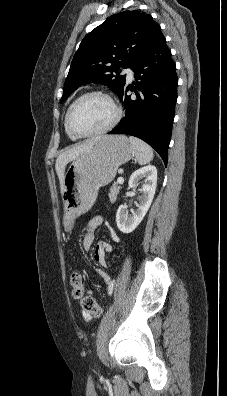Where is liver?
Wrapping results in <instances>:
<instances>
[{"mask_svg": "<svg viewBox=\"0 0 227 396\" xmlns=\"http://www.w3.org/2000/svg\"><path fill=\"white\" fill-rule=\"evenodd\" d=\"M97 140H99V138H93L91 140H87L82 144L76 145L73 148L61 153L58 156L55 164V169L59 178L61 193H63L64 190V176H65L66 165L70 161L76 159L82 152H84L86 149L92 146Z\"/></svg>", "mask_w": 227, "mask_h": 396, "instance_id": "liver-1", "label": "liver"}]
</instances>
